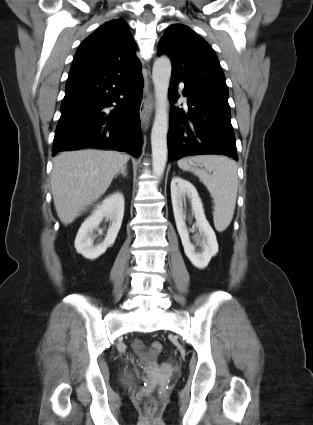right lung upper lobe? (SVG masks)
<instances>
[{"label":"right lung upper lobe","instance_id":"obj_1","mask_svg":"<svg viewBox=\"0 0 313 425\" xmlns=\"http://www.w3.org/2000/svg\"><path fill=\"white\" fill-rule=\"evenodd\" d=\"M141 67L136 44L123 19L105 22L77 49L69 76L109 70L127 73Z\"/></svg>","mask_w":313,"mask_h":425}]
</instances>
